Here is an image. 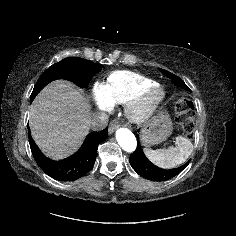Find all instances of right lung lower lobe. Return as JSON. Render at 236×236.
Masks as SVG:
<instances>
[{
  "label": "right lung lower lobe",
  "instance_id": "obj_1",
  "mask_svg": "<svg viewBox=\"0 0 236 236\" xmlns=\"http://www.w3.org/2000/svg\"><path fill=\"white\" fill-rule=\"evenodd\" d=\"M29 131L32 155L39 167L49 176L59 181H73L84 176L94 165L98 145L108 136V128L87 135L81 148L70 157L53 161L47 158L33 141Z\"/></svg>",
  "mask_w": 236,
  "mask_h": 236
}]
</instances>
